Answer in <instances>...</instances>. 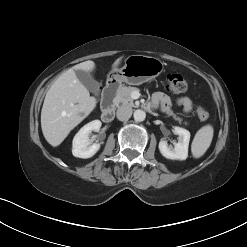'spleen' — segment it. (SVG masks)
Returning a JSON list of instances; mask_svg holds the SVG:
<instances>
[{"label":"spleen","mask_w":247,"mask_h":247,"mask_svg":"<svg viewBox=\"0 0 247 247\" xmlns=\"http://www.w3.org/2000/svg\"><path fill=\"white\" fill-rule=\"evenodd\" d=\"M214 130L211 125L201 127L195 134L191 145V152L194 158H200L205 154L211 145Z\"/></svg>","instance_id":"3e777b00"}]
</instances>
